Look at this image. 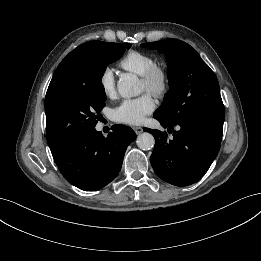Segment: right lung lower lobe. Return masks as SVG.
I'll return each mask as SVG.
<instances>
[{
	"label": "right lung lower lobe",
	"mask_w": 261,
	"mask_h": 261,
	"mask_svg": "<svg viewBox=\"0 0 261 261\" xmlns=\"http://www.w3.org/2000/svg\"><path fill=\"white\" fill-rule=\"evenodd\" d=\"M136 134L127 126L114 125L104 137L95 127L83 132L52 152L63 176L74 186L93 191L118 175L127 146Z\"/></svg>",
	"instance_id": "obj_1"
}]
</instances>
